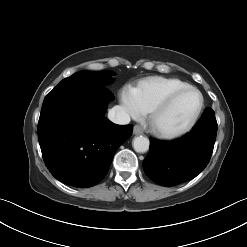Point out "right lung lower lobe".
Masks as SVG:
<instances>
[{
  "instance_id": "1",
  "label": "right lung lower lobe",
  "mask_w": 247,
  "mask_h": 247,
  "mask_svg": "<svg viewBox=\"0 0 247 247\" xmlns=\"http://www.w3.org/2000/svg\"><path fill=\"white\" fill-rule=\"evenodd\" d=\"M114 98L104 86L79 84L54 88L44 99L38 139L44 162L59 181L78 188L99 183L132 125L104 117Z\"/></svg>"
}]
</instances>
